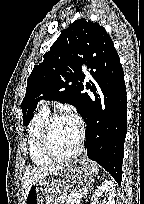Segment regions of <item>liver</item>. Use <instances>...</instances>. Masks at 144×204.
Listing matches in <instances>:
<instances>
[{
    "label": "liver",
    "mask_w": 144,
    "mask_h": 204,
    "mask_svg": "<svg viewBox=\"0 0 144 204\" xmlns=\"http://www.w3.org/2000/svg\"><path fill=\"white\" fill-rule=\"evenodd\" d=\"M64 164L60 165H50V166H36L26 169L22 178V189L24 192V199L29 186L39 179H46L47 177L58 172Z\"/></svg>",
    "instance_id": "6515ba94"
}]
</instances>
